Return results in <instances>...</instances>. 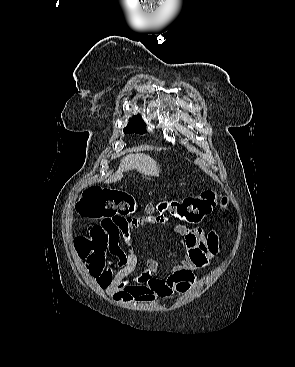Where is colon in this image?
<instances>
[{"label":"colon","instance_id":"colon-1","mask_svg":"<svg viewBox=\"0 0 295 367\" xmlns=\"http://www.w3.org/2000/svg\"><path fill=\"white\" fill-rule=\"evenodd\" d=\"M215 203L216 193L205 190L196 197L163 202L157 209L158 213H168L172 220L198 224L212 211ZM136 206L134 198L122 190L93 186L84 191L76 211L83 217L105 222L127 218ZM75 247L79 256L86 260L91 274L97 275L104 269L106 238L100 225L90 228L89 237H78Z\"/></svg>","mask_w":295,"mask_h":367}]
</instances>
